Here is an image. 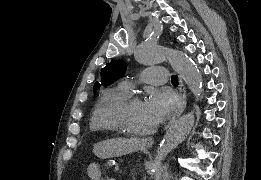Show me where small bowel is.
<instances>
[{"mask_svg":"<svg viewBox=\"0 0 261 180\" xmlns=\"http://www.w3.org/2000/svg\"><path fill=\"white\" fill-rule=\"evenodd\" d=\"M86 173L89 179L91 180H102V173L97 164L91 163L86 169Z\"/></svg>","mask_w":261,"mask_h":180,"instance_id":"small-bowel-1","label":"small bowel"}]
</instances>
